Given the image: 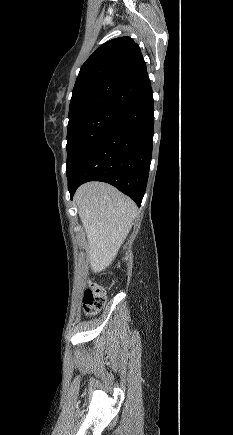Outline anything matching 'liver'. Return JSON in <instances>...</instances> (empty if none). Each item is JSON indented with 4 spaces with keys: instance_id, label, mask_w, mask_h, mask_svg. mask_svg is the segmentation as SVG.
<instances>
[{
    "instance_id": "obj_1",
    "label": "liver",
    "mask_w": 233,
    "mask_h": 435,
    "mask_svg": "<svg viewBox=\"0 0 233 435\" xmlns=\"http://www.w3.org/2000/svg\"><path fill=\"white\" fill-rule=\"evenodd\" d=\"M88 240L90 267L99 273L112 264L132 228L136 204L113 186L88 182L75 194Z\"/></svg>"
}]
</instances>
